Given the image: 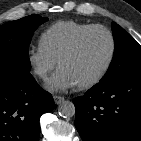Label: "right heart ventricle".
Returning <instances> with one entry per match:
<instances>
[{
    "label": "right heart ventricle",
    "mask_w": 141,
    "mask_h": 141,
    "mask_svg": "<svg viewBox=\"0 0 141 141\" xmlns=\"http://www.w3.org/2000/svg\"><path fill=\"white\" fill-rule=\"evenodd\" d=\"M92 25L73 20L59 21L41 34L39 45L57 61L74 38Z\"/></svg>",
    "instance_id": "obj_1"
}]
</instances>
